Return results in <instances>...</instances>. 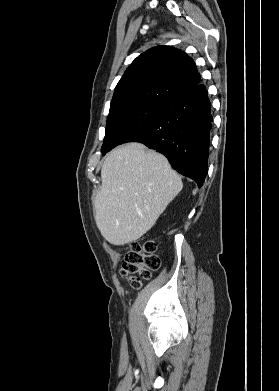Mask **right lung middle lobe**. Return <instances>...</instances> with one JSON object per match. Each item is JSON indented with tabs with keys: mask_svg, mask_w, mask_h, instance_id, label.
<instances>
[{
	"mask_svg": "<svg viewBox=\"0 0 279 391\" xmlns=\"http://www.w3.org/2000/svg\"><path fill=\"white\" fill-rule=\"evenodd\" d=\"M163 105L138 104L111 111L107 117L104 143L101 152L105 155L115 146L148 126Z\"/></svg>",
	"mask_w": 279,
	"mask_h": 391,
	"instance_id": "right-lung-middle-lobe-1",
	"label": "right lung middle lobe"
}]
</instances>
